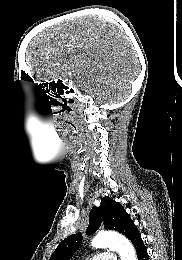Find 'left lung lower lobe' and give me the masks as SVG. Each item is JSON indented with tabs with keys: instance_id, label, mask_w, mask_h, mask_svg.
<instances>
[{
	"instance_id": "left-lung-lower-lobe-1",
	"label": "left lung lower lobe",
	"mask_w": 182,
	"mask_h": 260,
	"mask_svg": "<svg viewBox=\"0 0 182 260\" xmlns=\"http://www.w3.org/2000/svg\"><path fill=\"white\" fill-rule=\"evenodd\" d=\"M127 238L134 245L138 260H149V256L147 250L144 246L143 240L141 239V235L138 231L137 226H135L131 232L128 234Z\"/></svg>"
}]
</instances>
